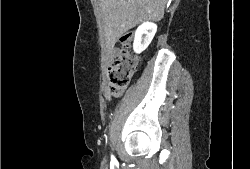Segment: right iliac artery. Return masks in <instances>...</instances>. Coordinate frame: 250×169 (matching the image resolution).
I'll list each match as a JSON object with an SVG mask.
<instances>
[{
	"label": "right iliac artery",
	"instance_id": "right-iliac-artery-1",
	"mask_svg": "<svg viewBox=\"0 0 250 169\" xmlns=\"http://www.w3.org/2000/svg\"><path fill=\"white\" fill-rule=\"evenodd\" d=\"M115 157L113 155H111V162L115 161Z\"/></svg>",
	"mask_w": 250,
	"mask_h": 169
}]
</instances>
